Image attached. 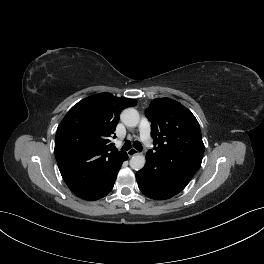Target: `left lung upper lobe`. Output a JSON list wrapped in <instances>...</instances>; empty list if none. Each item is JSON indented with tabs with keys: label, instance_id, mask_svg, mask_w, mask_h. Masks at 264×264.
<instances>
[{
	"label": "left lung upper lobe",
	"instance_id": "1",
	"mask_svg": "<svg viewBox=\"0 0 264 264\" xmlns=\"http://www.w3.org/2000/svg\"><path fill=\"white\" fill-rule=\"evenodd\" d=\"M152 123L151 136L155 151L146 157L154 158L161 168L181 172L191 179L201 166L204 144L195 116L179 102L170 98H156L146 110Z\"/></svg>",
	"mask_w": 264,
	"mask_h": 264
}]
</instances>
